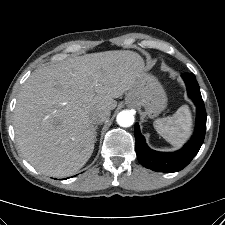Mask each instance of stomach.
I'll return each instance as SVG.
<instances>
[{
    "label": "stomach",
    "mask_w": 225,
    "mask_h": 225,
    "mask_svg": "<svg viewBox=\"0 0 225 225\" xmlns=\"http://www.w3.org/2000/svg\"><path fill=\"white\" fill-rule=\"evenodd\" d=\"M126 103L129 105L143 106L146 114L153 118L166 108L167 97L158 80L154 76L146 74L128 92L126 95Z\"/></svg>",
    "instance_id": "0dacf381"
}]
</instances>
